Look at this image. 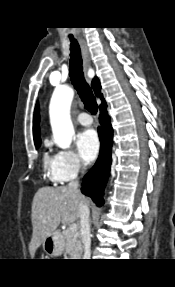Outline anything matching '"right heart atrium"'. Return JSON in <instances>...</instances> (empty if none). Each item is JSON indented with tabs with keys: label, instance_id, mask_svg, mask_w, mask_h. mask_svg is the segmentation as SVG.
Masks as SVG:
<instances>
[{
	"label": "right heart atrium",
	"instance_id": "right-heart-atrium-1",
	"mask_svg": "<svg viewBox=\"0 0 175 287\" xmlns=\"http://www.w3.org/2000/svg\"><path fill=\"white\" fill-rule=\"evenodd\" d=\"M55 182L63 183L74 179L85 167L81 158L71 150H60L55 155Z\"/></svg>",
	"mask_w": 175,
	"mask_h": 287
}]
</instances>
